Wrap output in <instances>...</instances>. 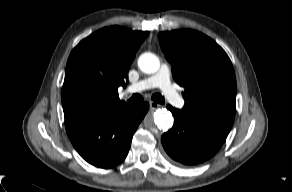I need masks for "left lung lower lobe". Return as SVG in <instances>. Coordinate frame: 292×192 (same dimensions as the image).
Masks as SVG:
<instances>
[{"label":"left lung lower lobe","mask_w":292,"mask_h":192,"mask_svg":"<svg viewBox=\"0 0 292 192\" xmlns=\"http://www.w3.org/2000/svg\"><path fill=\"white\" fill-rule=\"evenodd\" d=\"M167 108L174 125L161 137L168 156L179 165H196L214 156L227 138L232 125L220 121L186 117L181 110Z\"/></svg>","instance_id":"left-lung-lower-lobe-1"}]
</instances>
